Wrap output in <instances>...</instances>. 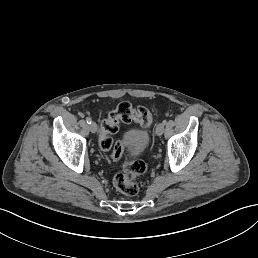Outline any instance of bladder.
Here are the masks:
<instances>
[{
	"label": "bladder",
	"instance_id": "bladder-1",
	"mask_svg": "<svg viewBox=\"0 0 258 258\" xmlns=\"http://www.w3.org/2000/svg\"><path fill=\"white\" fill-rule=\"evenodd\" d=\"M125 140L130 151L137 155L145 150L149 140V135L146 130L132 129L126 133Z\"/></svg>",
	"mask_w": 258,
	"mask_h": 258
}]
</instances>
